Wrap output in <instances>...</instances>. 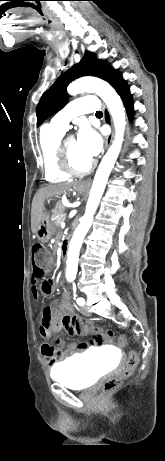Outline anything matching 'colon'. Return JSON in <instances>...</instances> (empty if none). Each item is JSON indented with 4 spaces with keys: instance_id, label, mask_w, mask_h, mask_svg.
I'll return each instance as SVG.
<instances>
[{
    "instance_id": "obj_1",
    "label": "colon",
    "mask_w": 165,
    "mask_h": 461,
    "mask_svg": "<svg viewBox=\"0 0 165 461\" xmlns=\"http://www.w3.org/2000/svg\"><path fill=\"white\" fill-rule=\"evenodd\" d=\"M51 261L47 248L40 243L35 244L32 247V276L33 279H41L44 273L50 268ZM93 332H102L105 336L114 339L120 346H125L127 339L124 335H115L113 331L107 330L102 331L99 328H95ZM85 353V352H84ZM83 353V354H84ZM138 364V355L135 351H130L126 367L124 368L121 375L107 379L103 384V391L108 393L117 389L122 380L129 377L135 370Z\"/></svg>"
}]
</instances>
